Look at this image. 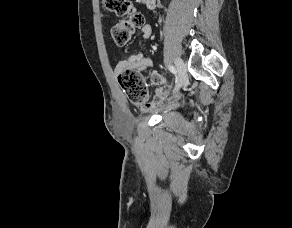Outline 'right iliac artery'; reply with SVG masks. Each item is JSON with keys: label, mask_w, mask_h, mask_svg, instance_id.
Instances as JSON below:
<instances>
[{"label": "right iliac artery", "mask_w": 292, "mask_h": 228, "mask_svg": "<svg viewBox=\"0 0 292 228\" xmlns=\"http://www.w3.org/2000/svg\"><path fill=\"white\" fill-rule=\"evenodd\" d=\"M168 68H169L170 72H172L175 75L177 74V69L174 66L170 65Z\"/></svg>", "instance_id": "82829eb1"}]
</instances>
